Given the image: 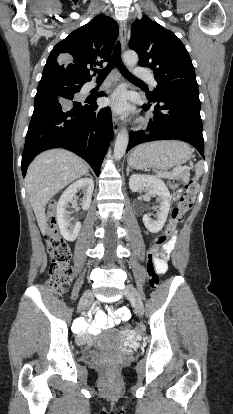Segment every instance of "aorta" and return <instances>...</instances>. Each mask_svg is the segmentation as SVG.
<instances>
[{
  "instance_id": "762f6f07",
  "label": "aorta",
  "mask_w": 233,
  "mask_h": 414,
  "mask_svg": "<svg viewBox=\"0 0 233 414\" xmlns=\"http://www.w3.org/2000/svg\"><path fill=\"white\" fill-rule=\"evenodd\" d=\"M124 62L129 67H134L138 62V55L134 51H126L123 55ZM129 138L126 129H122L115 141L114 146V158L115 160H119L123 157L126 152L128 146Z\"/></svg>"
}]
</instances>
